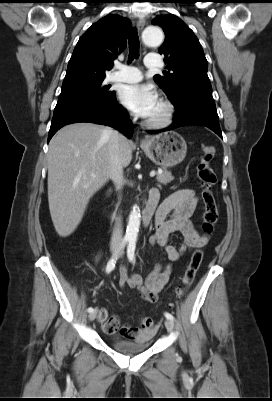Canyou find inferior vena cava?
Wrapping results in <instances>:
<instances>
[{"instance_id":"inferior-vena-cava-1","label":"inferior vena cava","mask_w":272,"mask_h":401,"mask_svg":"<svg viewBox=\"0 0 272 401\" xmlns=\"http://www.w3.org/2000/svg\"><path fill=\"white\" fill-rule=\"evenodd\" d=\"M108 134L110 135L109 141V153H110V178L112 179L116 190H121L125 180L123 176V165L120 156V140L123 135L119 134L117 131L108 129ZM123 230L120 222H117L114 226L111 244L119 246L123 241Z\"/></svg>"}]
</instances>
